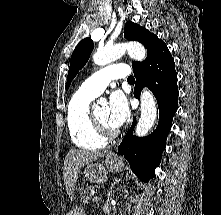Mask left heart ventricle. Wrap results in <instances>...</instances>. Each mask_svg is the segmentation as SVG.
<instances>
[{
  "label": "left heart ventricle",
  "instance_id": "1",
  "mask_svg": "<svg viewBox=\"0 0 221 215\" xmlns=\"http://www.w3.org/2000/svg\"><path fill=\"white\" fill-rule=\"evenodd\" d=\"M95 114L101 122H103L108 127L113 128L110 126L108 121V107L106 105L96 108Z\"/></svg>",
  "mask_w": 221,
  "mask_h": 215
}]
</instances>
